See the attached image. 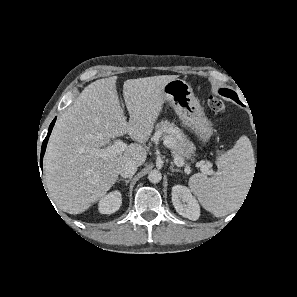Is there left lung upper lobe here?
I'll return each mask as SVG.
<instances>
[{"mask_svg":"<svg viewBox=\"0 0 297 297\" xmlns=\"http://www.w3.org/2000/svg\"><path fill=\"white\" fill-rule=\"evenodd\" d=\"M219 93H220L221 95H223V96L232 98L234 101L239 100L237 94H236L234 91H232V90H229V89H221V90L219 91Z\"/></svg>","mask_w":297,"mask_h":297,"instance_id":"left-lung-upper-lobe-1","label":"left lung upper lobe"}]
</instances>
